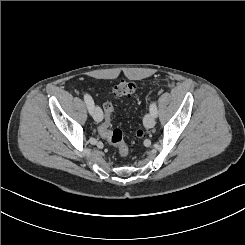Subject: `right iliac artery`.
I'll return each mask as SVG.
<instances>
[{"label": "right iliac artery", "mask_w": 245, "mask_h": 245, "mask_svg": "<svg viewBox=\"0 0 245 245\" xmlns=\"http://www.w3.org/2000/svg\"><path fill=\"white\" fill-rule=\"evenodd\" d=\"M84 101H85V103L89 109V112L91 113V110L94 106V102H93L92 97L89 94H84Z\"/></svg>", "instance_id": "1"}]
</instances>
